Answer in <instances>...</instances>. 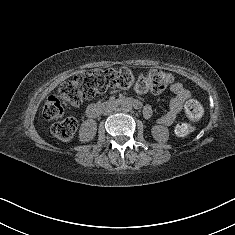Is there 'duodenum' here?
Segmentation results:
<instances>
[{
  "mask_svg": "<svg viewBox=\"0 0 235 235\" xmlns=\"http://www.w3.org/2000/svg\"><path fill=\"white\" fill-rule=\"evenodd\" d=\"M120 104H130L134 106L135 108H140L141 103L138 100L124 97V98H119L114 101H110L107 104H92L87 108V116L89 118H97L103 111L105 107H111L113 105H120Z\"/></svg>",
  "mask_w": 235,
  "mask_h": 235,
  "instance_id": "duodenum-1",
  "label": "duodenum"
}]
</instances>
